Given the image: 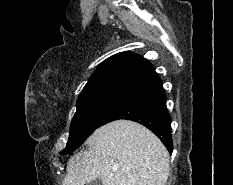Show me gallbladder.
Returning a JSON list of instances; mask_svg holds the SVG:
<instances>
[{"label": "gallbladder", "instance_id": "gallbladder-1", "mask_svg": "<svg viewBox=\"0 0 233 185\" xmlns=\"http://www.w3.org/2000/svg\"><path fill=\"white\" fill-rule=\"evenodd\" d=\"M87 185H102L101 180L96 179V180H92L89 184Z\"/></svg>", "mask_w": 233, "mask_h": 185}]
</instances>
